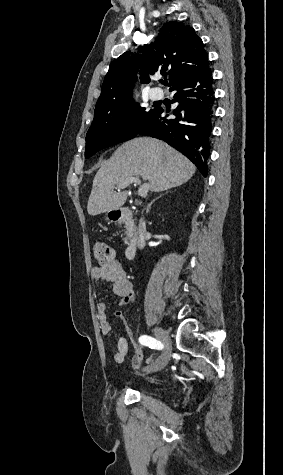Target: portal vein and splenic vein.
<instances>
[{
	"instance_id": "1",
	"label": "portal vein and splenic vein",
	"mask_w": 283,
	"mask_h": 475,
	"mask_svg": "<svg viewBox=\"0 0 283 475\" xmlns=\"http://www.w3.org/2000/svg\"><path fill=\"white\" fill-rule=\"evenodd\" d=\"M129 184H138V186H140V180L138 176H135V178H126L122 184H117V190H120V188H127ZM149 188V184H143V186H140L138 190V196H146Z\"/></svg>"
}]
</instances>
